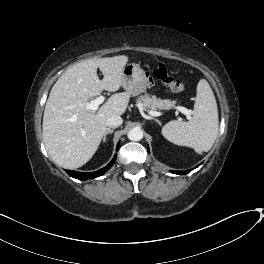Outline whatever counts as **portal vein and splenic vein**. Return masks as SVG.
Wrapping results in <instances>:
<instances>
[{"instance_id":"obj_1","label":"portal vein and splenic vein","mask_w":264,"mask_h":264,"mask_svg":"<svg viewBox=\"0 0 264 264\" xmlns=\"http://www.w3.org/2000/svg\"><path fill=\"white\" fill-rule=\"evenodd\" d=\"M105 101V97L104 96H99L94 100H91L90 102H87L84 106L87 110H92V111H96L99 108V105L102 104ZM177 111L183 113L184 115H186L187 119L190 120L191 119V111L188 110L185 107L182 106H177L175 108ZM149 114L151 116H160L161 112L158 111H149Z\"/></svg>"}]
</instances>
